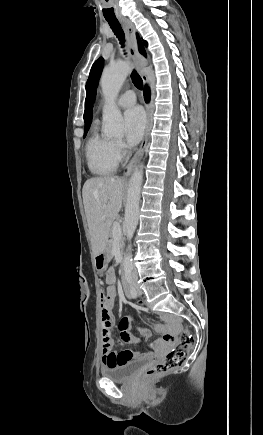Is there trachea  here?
<instances>
[{
    "label": "trachea",
    "mask_w": 263,
    "mask_h": 435,
    "mask_svg": "<svg viewBox=\"0 0 263 435\" xmlns=\"http://www.w3.org/2000/svg\"><path fill=\"white\" fill-rule=\"evenodd\" d=\"M107 22L110 25L112 31L114 32V34L116 35V37L120 41V44L123 47L124 43H125V35H124V32H123V30L121 28V25H120L119 21L118 20H108L107 19ZM131 79H132V82L135 85V87H137L139 90H142V88H143V81H142V78L139 76V74L136 72V70L132 71V73H131Z\"/></svg>",
    "instance_id": "3493384b"
}]
</instances>
